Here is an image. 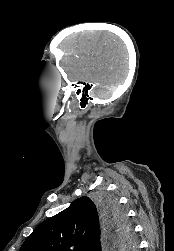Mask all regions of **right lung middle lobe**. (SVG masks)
<instances>
[{
	"label": "right lung middle lobe",
	"instance_id": "dd1d6c3e",
	"mask_svg": "<svg viewBox=\"0 0 174 251\" xmlns=\"http://www.w3.org/2000/svg\"><path fill=\"white\" fill-rule=\"evenodd\" d=\"M93 202L99 208L105 223L112 229L113 238L123 250L132 251L136 248V242L133 238V231L125 210L118 201L106 192L96 193Z\"/></svg>",
	"mask_w": 174,
	"mask_h": 251
}]
</instances>
